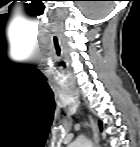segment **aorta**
I'll return each instance as SVG.
<instances>
[{
    "mask_svg": "<svg viewBox=\"0 0 140 147\" xmlns=\"http://www.w3.org/2000/svg\"><path fill=\"white\" fill-rule=\"evenodd\" d=\"M92 142L88 139L79 138L71 144L72 147H92Z\"/></svg>",
    "mask_w": 140,
    "mask_h": 147,
    "instance_id": "762f6f07",
    "label": "aorta"
}]
</instances>
